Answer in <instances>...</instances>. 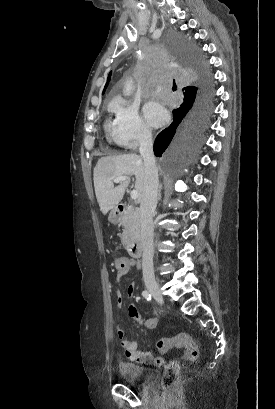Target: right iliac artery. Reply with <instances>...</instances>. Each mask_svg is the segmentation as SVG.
<instances>
[{
    "mask_svg": "<svg viewBox=\"0 0 275 409\" xmlns=\"http://www.w3.org/2000/svg\"><path fill=\"white\" fill-rule=\"evenodd\" d=\"M142 296H143L147 301H151V299H152L151 293H150L149 291H147V290H144V291L142 292Z\"/></svg>",
    "mask_w": 275,
    "mask_h": 409,
    "instance_id": "right-iliac-artery-1",
    "label": "right iliac artery"
}]
</instances>
